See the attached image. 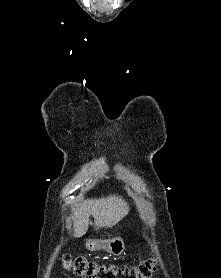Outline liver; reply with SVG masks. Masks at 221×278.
<instances>
[{
  "instance_id": "obj_1",
  "label": "liver",
  "mask_w": 221,
  "mask_h": 278,
  "mask_svg": "<svg viewBox=\"0 0 221 278\" xmlns=\"http://www.w3.org/2000/svg\"><path fill=\"white\" fill-rule=\"evenodd\" d=\"M128 212L127 203L116 195L87 200L73 210L74 236L78 238L85 235L89 227L90 215L94 216V225L98 230L116 225Z\"/></svg>"
}]
</instances>
